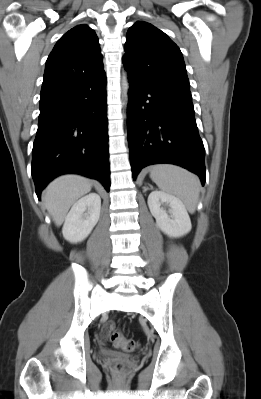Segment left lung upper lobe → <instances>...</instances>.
<instances>
[{
	"instance_id": "1",
	"label": "left lung upper lobe",
	"mask_w": 261,
	"mask_h": 399,
	"mask_svg": "<svg viewBox=\"0 0 261 399\" xmlns=\"http://www.w3.org/2000/svg\"><path fill=\"white\" fill-rule=\"evenodd\" d=\"M123 64L134 76L152 84L190 89L182 53L161 30L138 21L127 32Z\"/></svg>"
}]
</instances>
